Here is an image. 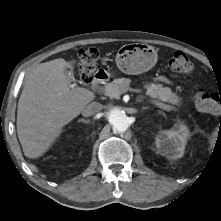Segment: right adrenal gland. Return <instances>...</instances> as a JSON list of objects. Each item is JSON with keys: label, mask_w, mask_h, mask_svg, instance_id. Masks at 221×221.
<instances>
[{"label": "right adrenal gland", "mask_w": 221, "mask_h": 221, "mask_svg": "<svg viewBox=\"0 0 221 221\" xmlns=\"http://www.w3.org/2000/svg\"><path fill=\"white\" fill-rule=\"evenodd\" d=\"M79 122L88 123V121H86V120H84V119L79 120Z\"/></svg>", "instance_id": "2a0ac1e0"}]
</instances>
